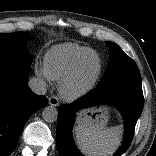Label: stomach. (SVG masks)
<instances>
[{"label":"stomach","mask_w":156,"mask_h":156,"mask_svg":"<svg viewBox=\"0 0 156 156\" xmlns=\"http://www.w3.org/2000/svg\"><path fill=\"white\" fill-rule=\"evenodd\" d=\"M108 121V115L106 113H102L99 115H96L95 118H92L88 115H80L78 118V122L80 123H92L98 126H105Z\"/></svg>","instance_id":"stomach-1"}]
</instances>
